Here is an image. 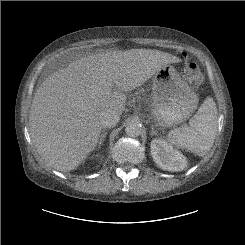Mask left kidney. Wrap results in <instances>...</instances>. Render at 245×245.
<instances>
[{
    "label": "left kidney",
    "instance_id": "1",
    "mask_svg": "<svg viewBox=\"0 0 245 245\" xmlns=\"http://www.w3.org/2000/svg\"><path fill=\"white\" fill-rule=\"evenodd\" d=\"M151 155L155 163L164 170L182 171L187 166L186 157L173 149L172 145L163 139L151 142Z\"/></svg>",
    "mask_w": 245,
    "mask_h": 245
}]
</instances>
